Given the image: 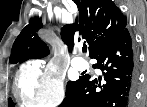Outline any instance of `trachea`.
<instances>
[{
	"mask_svg": "<svg viewBox=\"0 0 147 107\" xmlns=\"http://www.w3.org/2000/svg\"><path fill=\"white\" fill-rule=\"evenodd\" d=\"M87 50V46H83V51H86Z\"/></svg>",
	"mask_w": 147,
	"mask_h": 107,
	"instance_id": "1",
	"label": "trachea"
}]
</instances>
